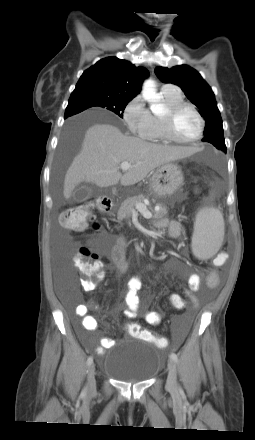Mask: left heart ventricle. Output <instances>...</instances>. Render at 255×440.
I'll use <instances>...</instances> for the list:
<instances>
[{
    "instance_id": "obj_1",
    "label": "left heart ventricle",
    "mask_w": 255,
    "mask_h": 440,
    "mask_svg": "<svg viewBox=\"0 0 255 440\" xmlns=\"http://www.w3.org/2000/svg\"><path fill=\"white\" fill-rule=\"evenodd\" d=\"M199 130V121L196 115L189 109L177 114L173 121V131L177 138L188 140L196 136Z\"/></svg>"
}]
</instances>
